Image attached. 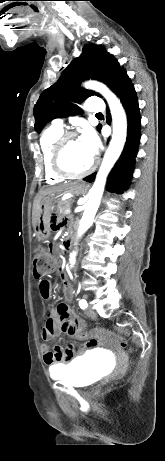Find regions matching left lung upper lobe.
Segmentation results:
<instances>
[{
  "label": "left lung upper lobe",
  "instance_id": "left-lung-upper-lobe-1",
  "mask_svg": "<svg viewBox=\"0 0 165 461\" xmlns=\"http://www.w3.org/2000/svg\"><path fill=\"white\" fill-rule=\"evenodd\" d=\"M123 71L125 69L101 45H85L82 54L68 65L59 80L41 93L34 106L35 130L40 132L46 122L54 118L82 113L75 103L92 95L101 97L94 91L80 88L82 81L99 80L112 90Z\"/></svg>",
  "mask_w": 165,
  "mask_h": 461
}]
</instances>
